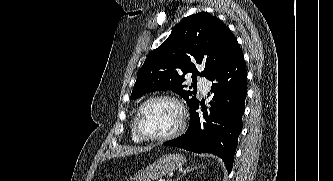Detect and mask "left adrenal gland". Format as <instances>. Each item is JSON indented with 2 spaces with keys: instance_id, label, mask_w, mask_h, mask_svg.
<instances>
[{
  "instance_id": "obj_1",
  "label": "left adrenal gland",
  "mask_w": 333,
  "mask_h": 181,
  "mask_svg": "<svg viewBox=\"0 0 333 181\" xmlns=\"http://www.w3.org/2000/svg\"><path fill=\"white\" fill-rule=\"evenodd\" d=\"M199 167H187L185 168V170L182 172V174L175 180V181H179L180 178H182L183 176H185L187 173L191 172L194 169H197Z\"/></svg>"
}]
</instances>
